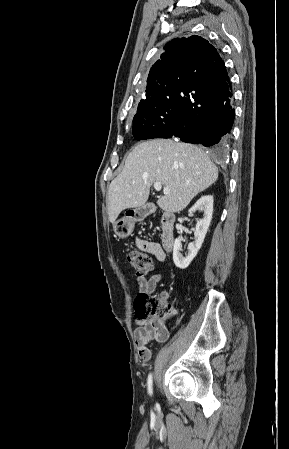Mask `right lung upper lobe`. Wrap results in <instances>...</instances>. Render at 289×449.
Instances as JSON below:
<instances>
[{"label":"right lung upper lobe","mask_w":289,"mask_h":449,"mask_svg":"<svg viewBox=\"0 0 289 449\" xmlns=\"http://www.w3.org/2000/svg\"><path fill=\"white\" fill-rule=\"evenodd\" d=\"M225 66L217 50L204 38H176L151 68L146 95L176 90L180 82L207 81Z\"/></svg>","instance_id":"1"}]
</instances>
